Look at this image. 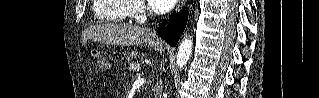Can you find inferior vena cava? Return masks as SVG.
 Returning <instances> with one entry per match:
<instances>
[{"mask_svg":"<svg viewBox=\"0 0 319 98\" xmlns=\"http://www.w3.org/2000/svg\"><path fill=\"white\" fill-rule=\"evenodd\" d=\"M151 33L156 36L155 32H151ZM161 93H162V81L160 79L154 88V97L161 98Z\"/></svg>","mask_w":319,"mask_h":98,"instance_id":"602c4592","label":"inferior vena cava"}]
</instances>
